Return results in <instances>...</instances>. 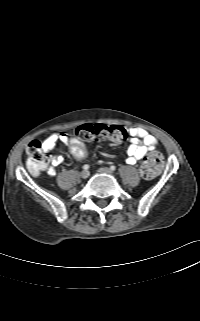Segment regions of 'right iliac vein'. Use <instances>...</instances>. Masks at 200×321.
<instances>
[{
  "mask_svg": "<svg viewBox=\"0 0 200 321\" xmlns=\"http://www.w3.org/2000/svg\"><path fill=\"white\" fill-rule=\"evenodd\" d=\"M88 176H89V172H88L87 170H83V171L80 173V177H81L82 179H86V178H88Z\"/></svg>",
  "mask_w": 200,
  "mask_h": 321,
  "instance_id": "63e3f726",
  "label": "right iliac vein"
}]
</instances>
